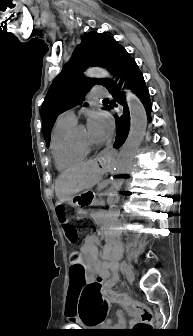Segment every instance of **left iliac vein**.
Here are the masks:
<instances>
[{
    "mask_svg": "<svg viewBox=\"0 0 193 336\" xmlns=\"http://www.w3.org/2000/svg\"><path fill=\"white\" fill-rule=\"evenodd\" d=\"M123 270L125 272V276L127 280L132 283L135 280V274L131 266H129L126 262H122Z\"/></svg>",
    "mask_w": 193,
    "mask_h": 336,
    "instance_id": "4c4485c4",
    "label": "left iliac vein"
}]
</instances>
